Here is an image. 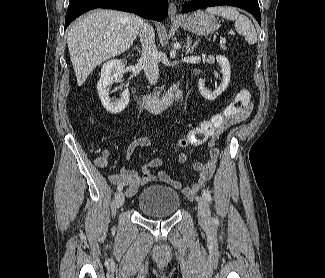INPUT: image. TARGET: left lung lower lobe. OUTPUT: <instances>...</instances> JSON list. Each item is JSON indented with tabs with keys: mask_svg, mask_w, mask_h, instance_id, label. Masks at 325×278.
Segmentation results:
<instances>
[{
	"mask_svg": "<svg viewBox=\"0 0 325 278\" xmlns=\"http://www.w3.org/2000/svg\"><path fill=\"white\" fill-rule=\"evenodd\" d=\"M219 5H229L242 8L250 12L256 18L258 23L261 24L258 0H195L184 4L182 6V11L187 13L193 10Z\"/></svg>",
	"mask_w": 325,
	"mask_h": 278,
	"instance_id": "1",
	"label": "left lung lower lobe"
}]
</instances>
